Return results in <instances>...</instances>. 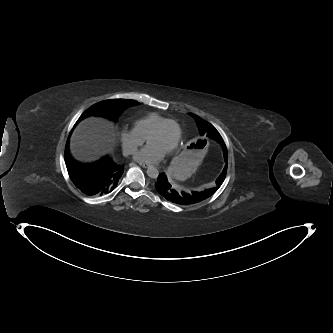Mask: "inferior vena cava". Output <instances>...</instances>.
<instances>
[{"instance_id":"inferior-vena-cava-1","label":"inferior vena cava","mask_w":333,"mask_h":333,"mask_svg":"<svg viewBox=\"0 0 333 333\" xmlns=\"http://www.w3.org/2000/svg\"><path fill=\"white\" fill-rule=\"evenodd\" d=\"M135 151H136V150L133 149V148H130V149L125 148V149L123 150V155L126 157V156H128V155H130V154H133Z\"/></svg>"}]
</instances>
